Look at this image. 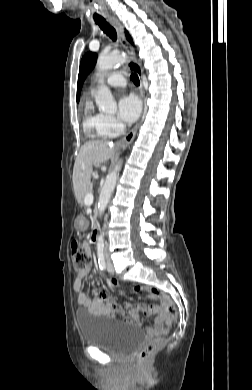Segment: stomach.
Here are the masks:
<instances>
[{
    "label": "stomach",
    "mask_w": 252,
    "mask_h": 390,
    "mask_svg": "<svg viewBox=\"0 0 252 390\" xmlns=\"http://www.w3.org/2000/svg\"><path fill=\"white\" fill-rule=\"evenodd\" d=\"M85 225V220L83 217H79L78 220H77V228L78 229H81L83 228Z\"/></svg>",
    "instance_id": "0dacf381"
}]
</instances>
